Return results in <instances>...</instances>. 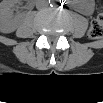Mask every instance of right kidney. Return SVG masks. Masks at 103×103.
<instances>
[{"instance_id":"obj_1","label":"right kidney","mask_w":103,"mask_h":103,"mask_svg":"<svg viewBox=\"0 0 103 103\" xmlns=\"http://www.w3.org/2000/svg\"><path fill=\"white\" fill-rule=\"evenodd\" d=\"M19 3L17 0H4L0 4V30L11 33L18 27V19L13 18L12 8Z\"/></svg>"}]
</instances>
